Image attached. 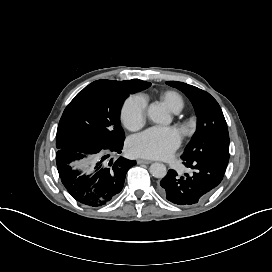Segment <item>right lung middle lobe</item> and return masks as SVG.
I'll use <instances>...</instances> for the list:
<instances>
[{"label":"right lung middle lobe","mask_w":272,"mask_h":272,"mask_svg":"<svg viewBox=\"0 0 272 272\" xmlns=\"http://www.w3.org/2000/svg\"><path fill=\"white\" fill-rule=\"evenodd\" d=\"M151 85L141 80L121 83L93 82L69 103L60 119L56 147L89 141L112 147L124 142L120 124V109L129 93Z\"/></svg>","instance_id":"1"}]
</instances>
